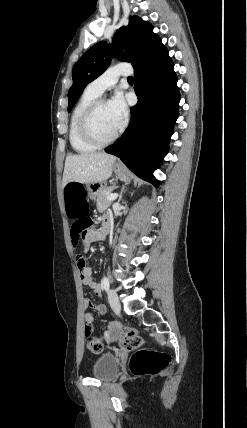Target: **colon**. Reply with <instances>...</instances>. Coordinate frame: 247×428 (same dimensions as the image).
<instances>
[{"label": "colon", "instance_id": "obj_1", "mask_svg": "<svg viewBox=\"0 0 247 428\" xmlns=\"http://www.w3.org/2000/svg\"><path fill=\"white\" fill-rule=\"evenodd\" d=\"M64 201L66 203L64 215L72 223V238L76 243L93 226L94 222L93 217H87V202L83 187L78 183H69L65 187ZM84 264V259L78 257V267H82ZM92 301L83 300L82 304L89 306L90 309L95 308L100 317L109 315L108 305L105 302H97L95 298ZM84 323L86 348L93 353L101 352L103 350V343L100 339H103V336H100V339H98L91 335L94 332L95 323L90 317H87ZM114 332L120 336L121 348L127 351L137 350L130 361L131 371L135 375L157 374L171 362V356L168 353L138 349L142 345L143 340L134 328H115Z\"/></svg>", "mask_w": 247, "mask_h": 428}]
</instances>
